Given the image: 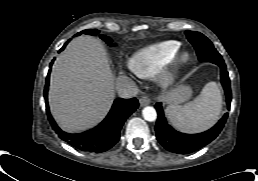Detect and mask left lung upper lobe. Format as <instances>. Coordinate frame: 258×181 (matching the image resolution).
I'll return each instance as SVG.
<instances>
[{"mask_svg": "<svg viewBox=\"0 0 258 181\" xmlns=\"http://www.w3.org/2000/svg\"><path fill=\"white\" fill-rule=\"evenodd\" d=\"M185 33L190 43L194 46L200 61H209L217 65L224 63L221 55L207 37L195 31H186Z\"/></svg>", "mask_w": 258, "mask_h": 181, "instance_id": "left-lung-upper-lobe-1", "label": "left lung upper lobe"}]
</instances>
